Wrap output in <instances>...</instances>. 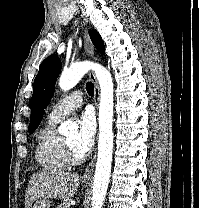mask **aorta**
I'll use <instances>...</instances> for the list:
<instances>
[{
	"label": "aorta",
	"instance_id": "762f6f07",
	"mask_svg": "<svg viewBox=\"0 0 199 208\" xmlns=\"http://www.w3.org/2000/svg\"><path fill=\"white\" fill-rule=\"evenodd\" d=\"M91 69L95 72L101 91L98 158L93 182L91 208H102L108 189L113 154L112 122L114 88L112 76L102 65L84 61L75 63L69 69L64 70L59 79V86L63 91L72 89ZM74 130H77V126L71 121H66L59 127V132L64 135Z\"/></svg>",
	"mask_w": 199,
	"mask_h": 208
}]
</instances>
